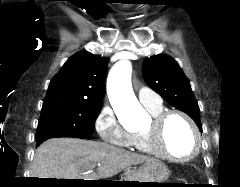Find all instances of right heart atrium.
<instances>
[{"instance_id": "right-heart-atrium-1", "label": "right heart atrium", "mask_w": 240, "mask_h": 187, "mask_svg": "<svg viewBox=\"0 0 240 187\" xmlns=\"http://www.w3.org/2000/svg\"><path fill=\"white\" fill-rule=\"evenodd\" d=\"M95 129L102 141L119 147L131 146V134L120 124L114 110L104 107L95 120Z\"/></svg>"}]
</instances>
